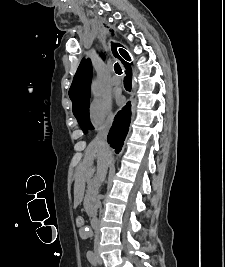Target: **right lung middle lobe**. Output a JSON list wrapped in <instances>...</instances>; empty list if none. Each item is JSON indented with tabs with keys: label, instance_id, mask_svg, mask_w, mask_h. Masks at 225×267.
Returning <instances> with one entry per match:
<instances>
[{
	"label": "right lung middle lobe",
	"instance_id": "dd1d6c3e",
	"mask_svg": "<svg viewBox=\"0 0 225 267\" xmlns=\"http://www.w3.org/2000/svg\"><path fill=\"white\" fill-rule=\"evenodd\" d=\"M89 101H90V94L84 97L77 104L73 105V113L85 134L87 133L88 130L94 129L90 122V117H89V106H90Z\"/></svg>",
	"mask_w": 225,
	"mask_h": 267
}]
</instances>
